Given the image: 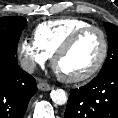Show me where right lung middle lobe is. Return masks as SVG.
<instances>
[{"label":"right lung middle lobe","instance_id":"right-lung-middle-lobe-1","mask_svg":"<svg viewBox=\"0 0 118 118\" xmlns=\"http://www.w3.org/2000/svg\"><path fill=\"white\" fill-rule=\"evenodd\" d=\"M27 21L21 16L0 17V53L16 54L17 44Z\"/></svg>","mask_w":118,"mask_h":118}]
</instances>
